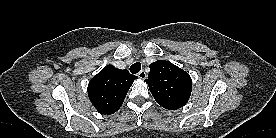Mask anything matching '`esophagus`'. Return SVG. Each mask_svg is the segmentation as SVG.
<instances>
[{
    "instance_id": "1",
    "label": "esophagus",
    "mask_w": 276,
    "mask_h": 138,
    "mask_svg": "<svg viewBox=\"0 0 276 138\" xmlns=\"http://www.w3.org/2000/svg\"><path fill=\"white\" fill-rule=\"evenodd\" d=\"M138 77L140 79H146L147 75H146V72L144 70H141L139 73H138Z\"/></svg>"
}]
</instances>
